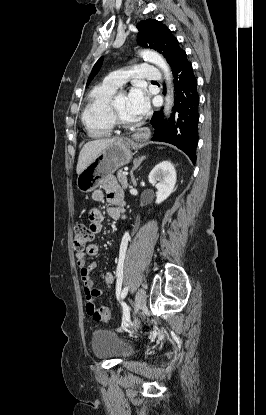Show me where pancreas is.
<instances>
[{"label": "pancreas", "mask_w": 266, "mask_h": 415, "mask_svg": "<svg viewBox=\"0 0 266 415\" xmlns=\"http://www.w3.org/2000/svg\"><path fill=\"white\" fill-rule=\"evenodd\" d=\"M117 179L123 188H127L129 186L128 181H127V175L123 174L122 170H119L117 172Z\"/></svg>", "instance_id": "1"}]
</instances>
